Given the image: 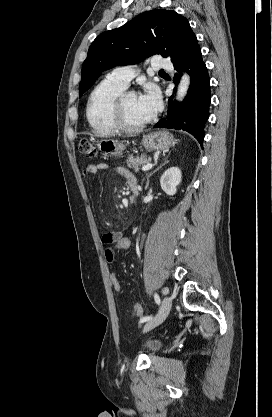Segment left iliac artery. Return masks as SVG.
Wrapping results in <instances>:
<instances>
[{
	"instance_id": "1",
	"label": "left iliac artery",
	"mask_w": 272,
	"mask_h": 417,
	"mask_svg": "<svg viewBox=\"0 0 272 417\" xmlns=\"http://www.w3.org/2000/svg\"><path fill=\"white\" fill-rule=\"evenodd\" d=\"M154 299H155V302L159 305L160 304V297L157 293L154 294ZM150 319H152V316L143 317V318L140 319V323L149 321Z\"/></svg>"
}]
</instances>
